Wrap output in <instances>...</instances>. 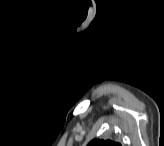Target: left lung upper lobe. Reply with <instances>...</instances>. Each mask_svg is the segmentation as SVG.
Here are the masks:
<instances>
[{"label": "left lung upper lobe", "mask_w": 164, "mask_h": 146, "mask_svg": "<svg viewBox=\"0 0 164 146\" xmlns=\"http://www.w3.org/2000/svg\"><path fill=\"white\" fill-rule=\"evenodd\" d=\"M88 146H121V145L111 140L104 141V140L94 139L88 144Z\"/></svg>", "instance_id": "left-lung-upper-lobe-1"}]
</instances>
